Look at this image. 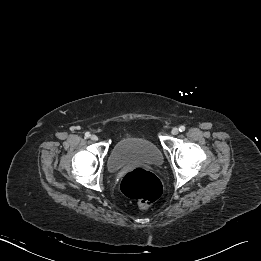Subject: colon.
Instances as JSON below:
<instances>
[{
	"label": "colon",
	"instance_id": "1",
	"mask_svg": "<svg viewBox=\"0 0 261 261\" xmlns=\"http://www.w3.org/2000/svg\"><path fill=\"white\" fill-rule=\"evenodd\" d=\"M120 188L125 196L137 200L141 207L149 206L163 191L161 181L143 168L128 172L123 177Z\"/></svg>",
	"mask_w": 261,
	"mask_h": 261
}]
</instances>
